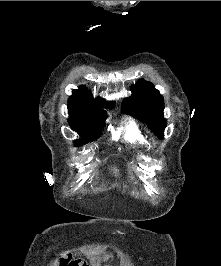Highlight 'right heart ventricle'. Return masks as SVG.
Here are the masks:
<instances>
[{
	"instance_id": "1",
	"label": "right heart ventricle",
	"mask_w": 221,
	"mask_h": 266,
	"mask_svg": "<svg viewBox=\"0 0 221 266\" xmlns=\"http://www.w3.org/2000/svg\"><path fill=\"white\" fill-rule=\"evenodd\" d=\"M123 139L130 144L144 146L147 144L146 137L139 125L132 119H128L122 129Z\"/></svg>"
}]
</instances>
